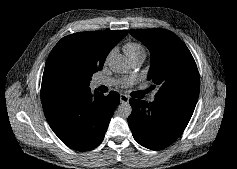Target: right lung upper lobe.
<instances>
[{"label":"right lung upper lobe","instance_id":"right-lung-upper-lobe-1","mask_svg":"<svg viewBox=\"0 0 237 169\" xmlns=\"http://www.w3.org/2000/svg\"><path fill=\"white\" fill-rule=\"evenodd\" d=\"M127 33L79 32L62 38L45 64L41 85L43 108L88 88L92 74L102 69L110 50Z\"/></svg>","mask_w":237,"mask_h":169}]
</instances>
